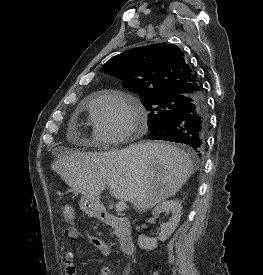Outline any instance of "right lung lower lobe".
Here are the masks:
<instances>
[{"label":"right lung lower lobe","instance_id":"98d812e1","mask_svg":"<svg viewBox=\"0 0 263 275\" xmlns=\"http://www.w3.org/2000/svg\"><path fill=\"white\" fill-rule=\"evenodd\" d=\"M208 124L207 101L203 92H199L179 113L150 130L148 136L151 139L186 144L201 157L205 148Z\"/></svg>","mask_w":263,"mask_h":275}]
</instances>
